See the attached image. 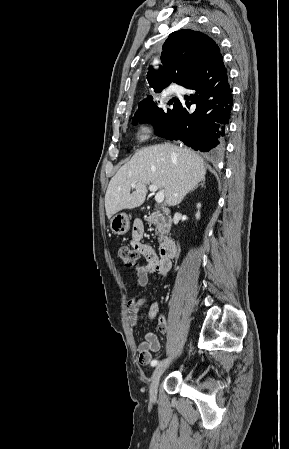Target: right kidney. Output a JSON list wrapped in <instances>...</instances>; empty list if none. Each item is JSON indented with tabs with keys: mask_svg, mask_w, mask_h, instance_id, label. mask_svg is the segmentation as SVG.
<instances>
[{
	"mask_svg": "<svg viewBox=\"0 0 289 449\" xmlns=\"http://www.w3.org/2000/svg\"><path fill=\"white\" fill-rule=\"evenodd\" d=\"M200 207H201V204H198V205H197V208L200 209ZM196 218H197V219L200 218V212H199V210H198V212H197V214H196Z\"/></svg>",
	"mask_w": 289,
	"mask_h": 449,
	"instance_id": "right-kidney-1",
	"label": "right kidney"
}]
</instances>
